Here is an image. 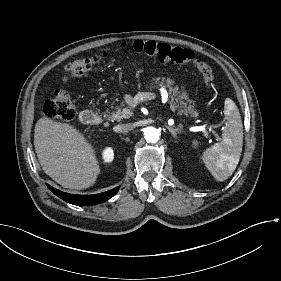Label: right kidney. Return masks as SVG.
<instances>
[{"instance_id": "ca27d5eb", "label": "right kidney", "mask_w": 281, "mask_h": 281, "mask_svg": "<svg viewBox=\"0 0 281 281\" xmlns=\"http://www.w3.org/2000/svg\"><path fill=\"white\" fill-rule=\"evenodd\" d=\"M102 158L105 163H110L114 159V152L111 147H106L102 151Z\"/></svg>"}]
</instances>
